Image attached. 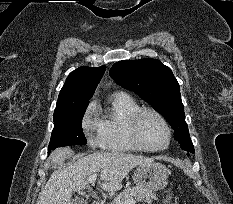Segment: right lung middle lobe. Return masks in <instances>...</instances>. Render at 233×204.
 I'll return each instance as SVG.
<instances>
[{
	"mask_svg": "<svg viewBox=\"0 0 233 204\" xmlns=\"http://www.w3.org/2000/svg\"><path fill=\"white\" fill-rule=\"evenodd\" d=\"M87 106L88 104L56 107L49 152L57 147L86 144L81 121Z\"/></svg>",
	"mask_w": 233,
	"mask_h": 204,
	"instance_id": "obj_1",
	"label": "right lung middle lobe"
}]
</instances>
